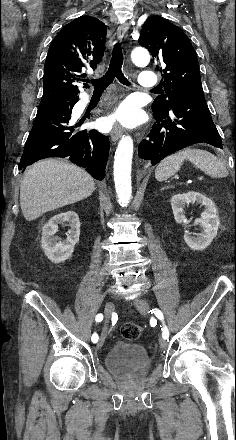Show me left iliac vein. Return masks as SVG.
I'll list each match as a JSON object with an SVG mask.
<instances>
[{"mask_svg":"<svg viewBox=\"0 0 236 440\" xmlns=\"http://www.w3.org/2000/svg\"><path fill=\"white\" fill-rule=\"evenodd\" d=\"M134 306L137 308L138 311H140L142 314H147L150 312V305L149 303L144 299H136L134 302ZM160 348L164 349L167 346L166 339L163 337L159 340Z\"/></svg>","mask_w":236,"mask_h":440,"instance_id":"4c4485c4","label":"left iliac vein"}]
</instances>
